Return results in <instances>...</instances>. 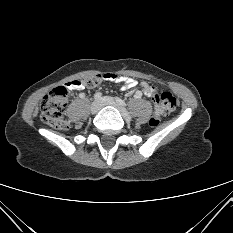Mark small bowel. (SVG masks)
<instances>
[{
  "mask_svg": "<svg viewBox=\"0 0 233 233\" xmlns=\"http://www.w3.org/2000/svg\"><path fill=\"white\" fill-rule=\"evenodd\" d=\"M103 80L104 81H109V82H116L122 85V89L123 90H129L133 87H135L137 85V81L132 79V78H128V77H124V76H119L118 74H104L103 75ZM140 89H137L134 92V97L135 98H141L143 94L147 95L148 97L152 98L154 100L155 96H156V89L155 87L149 85L146 82H140ZM67 89H77L80 92H85L86 91V86L83 84V80L82 79H75L73 81L67 82L66 85L64 86ZM157 114V111H156Z\"/></svg>",
  "mask_w": 233,
  "mask_h": 233,
  "instance_id": "1",
  "label": "small bowel"
}]
</instances>
